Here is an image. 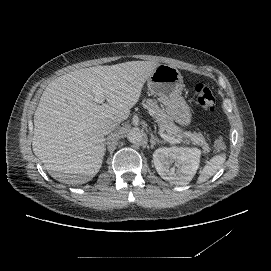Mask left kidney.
Here are the masks:
<instances>
[{
    "mask_svg": "<svg viewBox=\"0 0 271 271\" xmlns=\"http://www.w3.org/2000/svg\"><path fill=\"white\" fill-rule=\"evenodd\" d=\"M200 155L198 148L163 147L153 153V163L164 180L171 184L187 185L199 168Z\"/></svg>",
    "mask_w": 271,
    "mask_h": 271,
    "instance_id": "obj_1",
    "label": "left kidney"
}]
</instances>
